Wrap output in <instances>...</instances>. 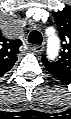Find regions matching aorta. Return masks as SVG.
Masks as SVG:
<instances>
[{"label":"aorta","instance_id":"aorta-1","mask_svg":"<svg viewBox=\"0 0 71 119\" xmlns=\"http://www.w3.org/2000/svg\"><path fill=\"white\" fill-rule=\"evenodd\" d=\"M59 50V39L57 36L52 35L48 40V57L54 59Z\"/></svg>","mask_w":71,"mask_h":119}]
</instances>
